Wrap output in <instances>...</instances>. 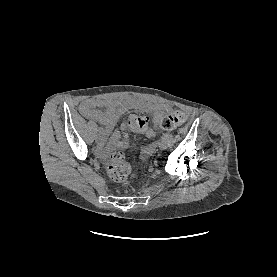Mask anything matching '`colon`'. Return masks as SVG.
Segmentation results:
<instances>
[{
    "label": "colon",
    "instance_id": "colon-1",
    "mask_svg": "<svg viewBox=\"0 0 277 277\" xmlns=\"http://www.w3.org/2000/svg\"><path fill=\"white\" fill-rule=\"evenodd\" d=\"M185 122V114L178 109L173 110L162 118L160 126L164 130H172ZM149 120L141 115H129L121 122V130L124 133H145L149 130ZM110 178L117 184L128 185L134 178V172L126 160L124 146L119 144L111 154L108 166Z\"/></svg>",
    "mask_w": 277,
    "mask_h": 277
}]
</instances>
